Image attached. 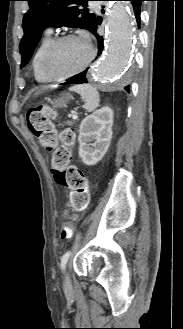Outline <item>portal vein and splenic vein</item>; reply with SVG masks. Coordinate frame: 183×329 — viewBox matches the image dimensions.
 I'll list each match as a JSON object with an SVG mask.
<instances>
[{"instance_id":"portal-vein-and-splenic-vein-1","label":"portal vein and splenic vein","mask_w":183,"mask_h":329,"mask_svg":"<svg viewBox=\"0 0 183 329\" xmlns=\"http://www.w3.org/2000/svg\"><path fill=\"white\" fill-rule=\"evenodd\" d=\"M72 118H73V119H77V118H78L77 114L74 113V114L72 115Z\"/></svg>"}]
</instances>
